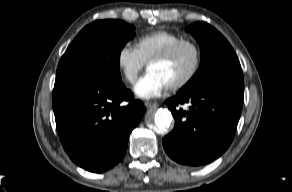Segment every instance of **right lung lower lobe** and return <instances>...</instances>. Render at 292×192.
<instances>
[{"mask_svg":"<svg viewBox=\"0 0 292 192\" xmlns=\"http://www.w3.org/2000/svg\"><path fill=\"white\" fill-rule=\"evenodd\" d=\"M122 101H129L121 106ZM53 110L65 151L78 166L104 172L124 157L143 103L123 83L114 85L83 73L56 74Z\"/></svg>","mask_w":292,"mask_h":192,"instance_id":"98d812e1","label":"right lung lower lobe"}]
</instances>
